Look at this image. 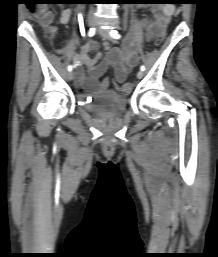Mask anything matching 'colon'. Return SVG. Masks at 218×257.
Segmentation results:
<instances>
[{"label":"colon","instance_id":"1","mask_svg":"<svg viewBox=\"0 0 218 257\" xmlns=\"http://www.w3.org/2000/svg\"><path fill=\"white\" fill-rule=\"evenodd\" d=\"M28 10H38V13L41 15L42 21L44 23H49L51 20V14L45 10L41 9L40 5H28ZM170 26H163L162 30H157V38L155 39V44L159 45L162 42V39L166 38L167 31H170ZM99 90H107L108 94H117L119 90L118 82L115 79H111L110 76H103L100 80ZM123 92L129 93L132 90V83L126 82L122 87Z\"/></svg>","mask_w":218,"mask_h":257}]
</instances>
